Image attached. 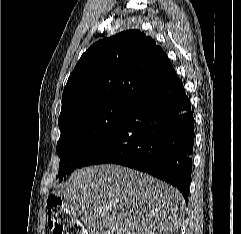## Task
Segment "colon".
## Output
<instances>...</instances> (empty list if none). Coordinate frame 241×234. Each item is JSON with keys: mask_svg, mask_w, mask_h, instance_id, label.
Masks as SVG:
<instances>
[{"mask_svg": "<svg viewBox=\"0 0 241 234\" xmlns=\"http://www.w3.org/2000/svg\"><path fill=\"white\" fill-rule=\"evenodd\" d=\"M47 207L48 224L53 234H85L82 224L64 207L59 197L50 196Z\"/></svg>", "mask_w": 241, "mask_h": 234, "instance_id": "obj_1", "label": "colon"}]
</instances>
